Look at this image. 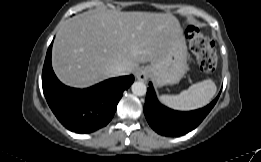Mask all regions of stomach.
<instances>
[{
    "instance_id": "obj_1",
    "label": "stomach",
    "mask_w": 261,
    "mask_h": 162,
    "mask_svg": "<svg viewBox=\"0 0 261 162\" xmlns=\"http://www.w3.org/2000/svg\"><path fill=\"white\" fill-rule=\"evenodd\" d=\"M187 69V46L181 30L173 37L166 54L145 67L148 77L158 87L178 83Z\"/></svg>"
}]
</instances>
